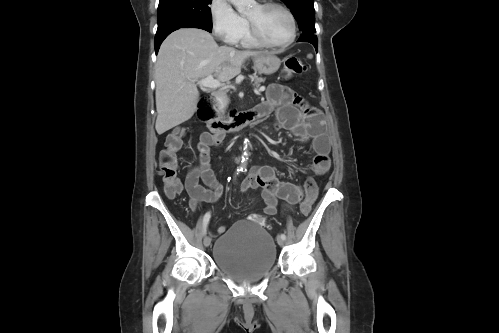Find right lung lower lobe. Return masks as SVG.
Returning <instances> with one entry per match:
<instances>
[{
    "mask_svg": "<svg viewBox=\"0 0 499 333\" xmlns=\"http://www.w3.org/2000/svg\"><path fill=\"white\" fill-rule=\"evenodd\" d=\"M180 28H200V29H204L208 32H211L212 30V26H208V25H205V24H183V25H176V26H172V27H169V28H166L162 31H159L156 33V36H155V51H156V54L158 53V50H159V47L161 45V43L163 42V40L173 31L177 30V29H180Z\"/></svg>",
    "mask_w": 499,
    "mask_h": 333,
    "instance_id": "obj_1",
    "label": "right lung lower lobe"
}]
</instances>
